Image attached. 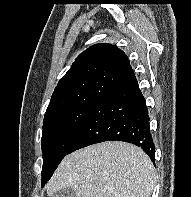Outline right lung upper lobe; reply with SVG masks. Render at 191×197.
<instances>
[{
  "instance_id": "obj_1",
  "label": "right lung upper lobe",
  "mask_w": 191,
  "mask_h": 197,
  "mask_svg": "<svg viewBox=\"0 0 191 197\" xmlns=\"http://www.w3.org/2000/svg\"><path fill=\"white\" fill-rule=\"evenodd\" d=\"M135 77L125 53L100 43L82 52L58 82L45 118L59 111L96 104L109 90Z\"/></svg>"
}]
</instances>
